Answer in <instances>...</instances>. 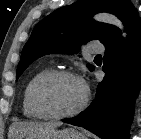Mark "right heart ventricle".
<instances>
[{
  "mask_svg": "<svg viewBox=\"0 0 141 139\" xmlns=\"http://www.w3.org/2000/svg\"><path fill=\"white\" fill-rule=\"evenodd\" d=\"M51 71L50 68L44 67L39 69L26 83L23 95H22V111L23 114L30 119H41L43 118L42 115L36 110L32 102V89L35 85L36 81L46 74L47 72Z\"/></svg>",
  "mask_w": 141,
  "mask_h": 139,
  "instance_id": "right-heart-ventricle-1",
  "label": "right heart ventricle"
}]
</instances>
